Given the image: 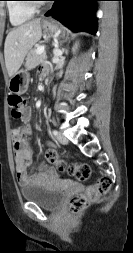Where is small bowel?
<instances>
[{"label": "small bowel", "mask_w": 133, "mask_h": 253, "mask_svg": "<svg viewBox=\"0 0 133 253\" xmlns=\"http://www.w3.org/2000/svg\"><path fill=\"white\" fill-rule=\"evenodd\" d=\"M47 73L46 69L42 70V75ZM31 118V110L26 108L23 121L26 123L24 126L15 127L12 130V146L14 152L15 170L18 182L21 186L30 184H38L46 181L49 177L57 175L54 168L48 166H41L39 171L29 173L32 167V149L29 142L31 134V127L28 124ZM50 150L54 149L51 142H46Z\"/></svg>", "instance_id": "obj_1"}]
</instances>
